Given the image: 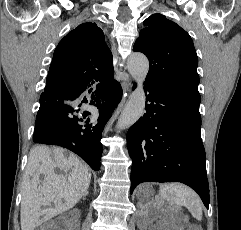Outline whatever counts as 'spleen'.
I'll return each mask as SVG.
<instances>
[{
  "label": "spleen",
  "mask_w": 241,
  "mask_h": 230,
  "mask_svg": "<svg viewBox=\"0 0 241 230\" xmlns=\"http://www.w3.org/2000/svg\"><path fill=\"white\" fill-rule=\"evenodd\" d=\"M159 194L171 204L185 206L197 220L202 219L201 200L190 188L179 183H169L160 187Z\"/></svg>",
  "instance_id": "3e777b00"
}]
</instances>
